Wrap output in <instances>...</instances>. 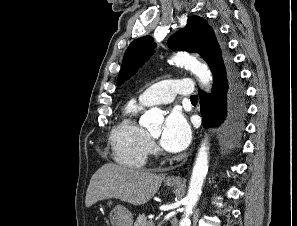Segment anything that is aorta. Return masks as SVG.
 I'll list each match as a JSON object with an SVG mask.
<instances>
[{"instance_id": "762f6f07", "label": "aorta", "mask_w": 297, "mask_h": 226, "mask_svg": "<svg viewBox=\"0 0 297 226\" xmlns=\"http://www.w3.org/2000/svg\"><path fill=\"white\" fill-rule=\"evenodd\" d=\"M170 62L189 69L198 78L201 85L209 91L212 82V74L206 64L198 61L194 56L187 53H177L171 58ZM144 120L146 123H151L154 127H158L159 122L163 120V116L158 108H152L145 113ZM208 150L207 142L204 141L198 151L193 166L188 193L185 197L184 215L179 226H189V216L192 214L202 193V187L208 172Z\"/></svg>"}]
</instances>
